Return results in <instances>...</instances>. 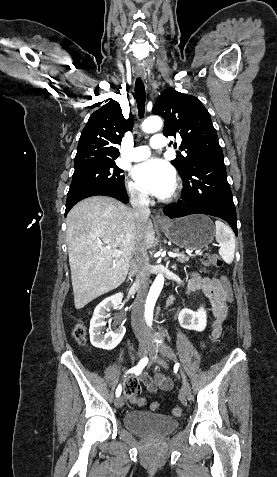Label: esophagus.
I'll use <instances>...</instances> for the list:
<instances>
[{
	"label": "esophagus",
	"instance_id": "1",
	"mask_svg": "<svg viewBox=\"0 0 277 477\" xmlns=\"http://www.w3.org/2000/svg\"><path fill=\"white\" fill-rule=\"evenodd\" d=\"M136 76L144 78L145 75H144L143 71H136ZM154 222L156 224H160V225L166 224V220L163 218V216L160 214L159 211L156 212V214H155Z\"/></svg>",
	"mask_w": 277,
	"mask_h": 477
}]
</instances>
